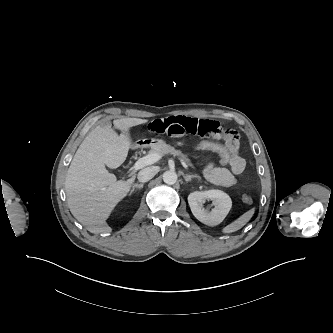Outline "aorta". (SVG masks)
Wrapping results in <instances>:
<instances>
[{
	"label": "aorta",
	"mask_w": 333,
	"mask_h": 333,
	"mask_svg": "<svg viewBox=\"0 0 333 333\" xmlns=\"http://www.w3.org/2000/svg\"><path fill=\"white\" fill-rule=\"evenodd\" d=\"M177 174L174 171H166L163 174V181L168 185H173L177 181Z\"/></svg>",
	"instance_id": "aorta-1"
}]
</instances>
